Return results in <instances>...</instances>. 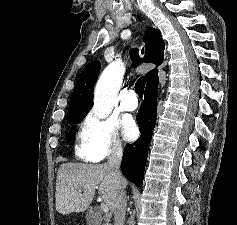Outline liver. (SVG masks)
I'll list each match as a JSON object with an SVG mask.
<instances>
[{
    "label": "liver",
    "instance_id": "obj_1",
    "mask_svg": "<svg viewBox=\"0 0 237 225\" xmlns=\"http://www.w3.org/2000/svg\"><path fill=\"white\" fill-rule=\"evenodd\" d=\"M124 184L127 185L125 179ZM96 189L113 212L117 189L106 164H61L56 180V210L63 215L84 212L91 204Z\"/></svg>",
    "mask_w": 237,
    "mask_h": 225
}]
</instances>
